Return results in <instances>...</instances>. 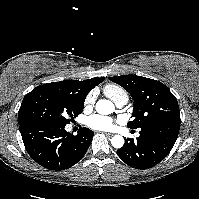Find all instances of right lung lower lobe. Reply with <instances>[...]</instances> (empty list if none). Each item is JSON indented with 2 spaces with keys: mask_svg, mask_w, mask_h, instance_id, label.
<instances>
[{
  "mask_svg": "<svg viewBox=\"0 0 199 199\" xmlns=\"http://www.w3.org/2000/svg\"><path fill=\"white\" fill-rule=\"evenodd\" d=\"M29 155L49 170L72 167L85 155L94 132L80 128L77 135L65 130V125L26 124L19 126Z\"/></svg>",
  "mask_w": 199,
  "mask_h": 199,
  "instance_id": "obj_1",
  "label": "right lung lower lobe"
}]
</instances>
